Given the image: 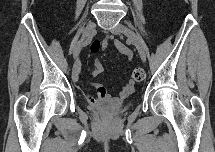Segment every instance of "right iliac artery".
I'll list each match as a JSON object with an SVG mask.
<instances>
[{
  "label": "right iliac artery",
  "mask_w": 215,
  "mask_h": 152,
  "mask_svg": "<svg viewBox=\"0 0 215 152\" xmlns=\"http://www.w3.org/2000/svg\"><path fill=\"white\" fill-rule=\"evenodd\" d=\"M91 40H92V35L89 36V37L87 38V40L84 41V42L82 43V46H83V47L86 46L88 43H90Z\"/></svg>",
  "instance_id": "right-iliac-artery-1"
}]
</instances>
